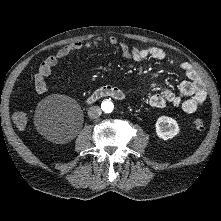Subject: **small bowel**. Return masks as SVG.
I'll return each mask as SVG.
<instances>
[{
  "label": "small bowel",
  "instance_id": "obj_1",
  "mask_svg": "<svg viewBox=\"0 0 221 221\" xmlns=\"http://www.w3.org/2000/svg\"><path fill=\"white\" fill-rule=\"evenodd\" d=\"M106 41L111 46H118L123 56L133 61H142L152 58L162 62L166 59V53L158 47H130L114 36L108 37ZM102 42L103 39L101 37L85 41H76L64 46L56 54L46 58L40 64L38 72L34 76V88L36 93L44 94L48 91L45 79L51 74L59 61L82 49L96 47ZM179 68L184 71L186 76V80L182 81L179 86L181 94L186 98L183 99L172 90L155 84L153 87L160 91L149 97V106L153 108H164L167 105H173L175 107H180L187 114H194L198 108L206 102L207 92L197 71L186 62L180 63Z\"/></svg>",
  "mask_w": 221,
  "mask_h": 221
}]
</instances>
